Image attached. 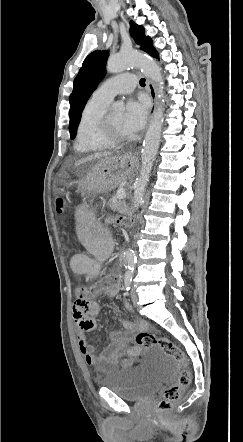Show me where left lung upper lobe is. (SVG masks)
<instances>
[{"mask_svg": "<svg viewBox=\"0 0 243 442\" xmlns=\"http://www.w3.org/2000/svg\"><path fill=\"white\" fill-rule=\"evenodd\" d=\"M131 29L130 33L135 42L141 46V49L151 54L154 50L152 40L145 36V30L142 26L130 21ZM107 50H96L90 53L84 60L82 67L79 70L78 75L73 82V92L70 95V124L69 131L71 139L76 136V129L81 120L82 111L96 88L98 82L102 79L105 69V64L108 59Z\"/></svg>", "mask_w": 243, "mask_h": 442, "instance_id": "obj_1", "label": "left lung upper lobe"}]
</instances>
